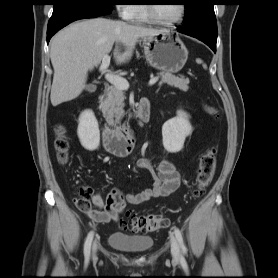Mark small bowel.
<instances>
[{
	"label": "small bowel",
	"instance_id": "obj_1",
	"mask_svg": "<svg viewBox=\"0 0 278 278\" xmlns=\"http://www.w3.org/2000/svg\"><path fill=\"white\" fill-rule=\"evenodd\" d=\"M146 171L151 178V185L138 193H123L114 188L104 199L96 192L91 201H76V205L93 222H116L125 211L127 204L138 205L152 198L166 197L175 192L181 182L180 174L169 160H162L157 167L146 159H141L133 168Z\"/></svg>",
	"mask_w": 278,
	"mask_h": 278
}]
</instances>
